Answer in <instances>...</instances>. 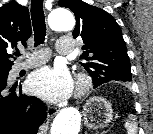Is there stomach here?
I'll list each match as a JSON object with an SVG mask.
<instances>
[{"label": "stomach", "mask_w": 153, "mask_h": 134, "mask_svg": "<svg viewBox=\"0 0 153 134\" xmlns=\"http://www.w3.org/2000/svg\"><path fill=\"white\" fill-rule=\"evenodd\" d=\"M84 125L88 129H102L113 119L112 105L102 97L90 98L83 107Z\"/></svg>", "instance_id": "stomach-1"}]
</instances>
